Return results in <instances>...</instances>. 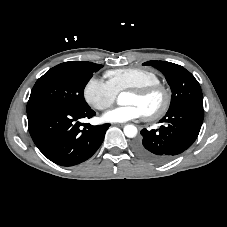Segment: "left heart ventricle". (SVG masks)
<instances>
[{
    "label": "left heart ventricle",
    "instance_id": "1",
    "mask_svg": "<svg viewBox=\"0 0 227 227\" xmlns=\"http://www.w3.org/2000/svg\"><path fill=\"white\" fill-rule=\"evenodd\" d=\"M123 104L137 105L143 114L151 113L159 108L162 103V96L160 93H154L147 97H137L134 94L127 93L122 99Z\"/></svg>",
    "mask_w": 227,
    "mask_h": 227
}]
</instances>
